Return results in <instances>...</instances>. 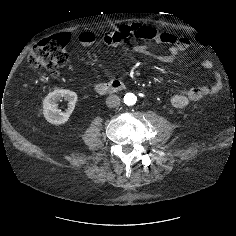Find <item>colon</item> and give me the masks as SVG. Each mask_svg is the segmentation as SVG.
Wrapping results in <instances>:
<instances>
[{
  "label": "colon",
  "instance_id": "colon-1",
  "mask_svg": "<svg viewBox=\"0 0 236 236\" xmlns=\"http://www.w3.org/2000/svg\"><path fill=\"white\" fill-rule=\"evenodd\" d=\"M67 40L60 35L42 40L28 55V64L34 69L56 70L69 61L66 49Z\"/></svg>",
  "mask_w": 236,
  "mask_h": 236
}]
</instances>
